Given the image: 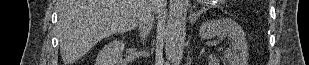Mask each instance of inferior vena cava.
<instances>
[{
	"label": "inferior vena cava",
	"instance_id": "602c4592",
	"mask_svg": "<svg viewBox=\"0 0 309 65\" xmlns=\"http://www.w3.org/2000/svg\"><path fill=\"white\" fill-rule=\"evenodd\" d=\"M157 3L160 4V8H162V2L160 0H150V5L147 9L142 13L140 17V21L138 24L141 40L144 41L145 38L150 33L153 28L154 22V12L157 11Z\"/></svg>",
	"mask_w": 309,
	"mask_h": 65
}]
</instances>
